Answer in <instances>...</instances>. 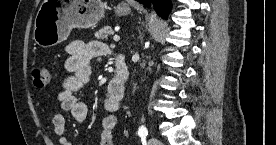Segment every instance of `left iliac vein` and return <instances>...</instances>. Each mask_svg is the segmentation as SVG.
<instances>
[{
  "label": "left iliac vein",
  "instance_id": "4c4485c4",
  "mask_svg": "<svg viewBox=\"0 0 276 145\" xmlns=\"http://www.w3.org/2000/svg\"><path fill=\"white\" fill-rule=\"evenodd\" d=\"M149 145H161V141L155 137H151L148 141Z\"/></svg>",
  "mask_w": 276,
  "mask_h": 145
}]
</instances>
